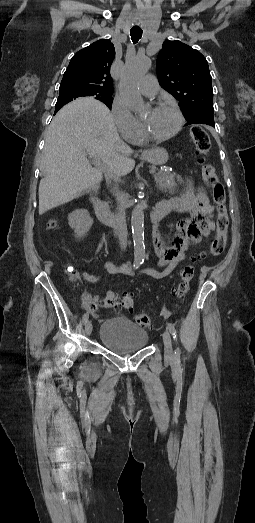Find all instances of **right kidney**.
<instances>
[{"label": "right kidney", "instance_id": "1", "mask_svg": "<svg viewBox=\"0 0 255 523\" xmlns=\"http://www.w3.org/2000/svg\"><path fill=\"white\" fill-rule=\"evenodd\" d=\"M69 226L73 228L76 238H82L89 232L93 220L89 216L88 210H74L68 216Z\"/></svg>", "mask_w": 255, "mask_h": 523}]
</instances>
